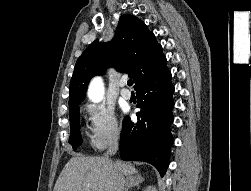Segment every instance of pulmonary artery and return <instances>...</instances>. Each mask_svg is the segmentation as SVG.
Here are the masks:
<instances>
[{
  "mask_svg": "<svg viewBox=\"0 0 251 191\" xmlns=\"http://www.w3.org/2000/svg\"><path fill=\"white\" fill-rule=\"evenodd\" d=\"M120 94L125 99L131 98V91L127 88V80L125 78H121L119 81Z\"/></svg>",
  "mask_w": 251,
  "mask_h": 191,
  "instance_id": "1",
  "label": "pulmonary artery"
}]
</instances>
